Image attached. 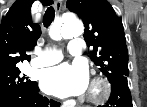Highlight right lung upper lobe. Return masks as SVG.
<instances>
[{"mask_svg": "<svg viewBox=\"0 0 147 107\" xmlns=\"http://www.w3.org/2000/svg\"><path fill=\"white\" fill-rule=\"evenodd\" d=\"M34 0H16L0 25V71L30 60L28 51L33 50L41 35L39 24L33 23L30 11ZM44 6L52 0H41Z\"/></svg>", "mask_w": 147, "mask_h": 107, "instance_id": "obj_1", "label": "right lung upper lobe"}]
</instances>
